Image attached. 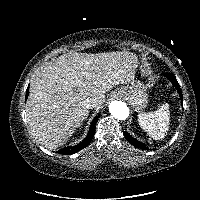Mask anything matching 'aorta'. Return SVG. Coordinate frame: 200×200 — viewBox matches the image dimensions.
<instances>
[{
	"instance_id": "762f6f07",
	"label": "aorta",
	"mask_w": 200,
	"mask_h": 200,
	"mask_svg": "<svg viewBox=\"0 0 200 200\" xmlns=\"http://www.w3.org/2000/svg\"><path fill=\"white\" fill-rule=\"evenodd\" d=\"M109 112L114 118L119 120H125L129 116V108L126 103L121 101H112L109 104Z\"/></svg>"
}]
</instances>
